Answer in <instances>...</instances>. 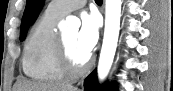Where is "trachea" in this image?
Listing matches in <instances>:
<instances>
[{"label": "trachea", "mask_w": 173, "mask_h": 91, "mask_svg": "<svg viewBox=\"0 0 173 91\" xmlns=\"http://www.w3.org/2000/svg\"><path fill=\"white\" fill-rule=\"evenodd\" d=\"M95 2H96L97 4H102V3H103V0H95Z\"/></svg>", "instance_id": "1"}]
</instances>
